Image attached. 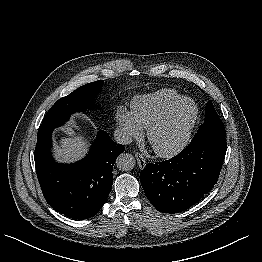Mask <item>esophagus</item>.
Segmentation results:
<instances>
[{
    "instance_id": "esophagus-1",
    "label": "esophagus",
    "mask_w": 262,
    "mask_h": 262,
    "mask_svg": "<svg viewBox=\"0 0 262 262\" xmlns=\"http://www.w3.org/2000/svg\"><path fill=\"white\" fill-rule=\"evenodd\" d=\"M135 157L137 159V163H138V166L142 169L146 166V160L145 158L140 154V153H136L135 154Z\"/></svg>"
}]
</instances>
